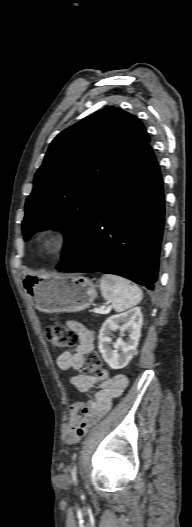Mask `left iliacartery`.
Masks as SVG:
<instances>
[{"instance_id":"1","label":"left iliac artery","mask_w":192,"mask_h":527,"mask_svg":"<svg viewBox=\"0 0 192 527\" xmlns=\"http://www.w3.org/2000/svg\"><path fill=\"white\" fill-rule=\"evenodd\" d=\"M72 475H73L74 482H76V467H74Z\"/></svg>"}]
</instances>
